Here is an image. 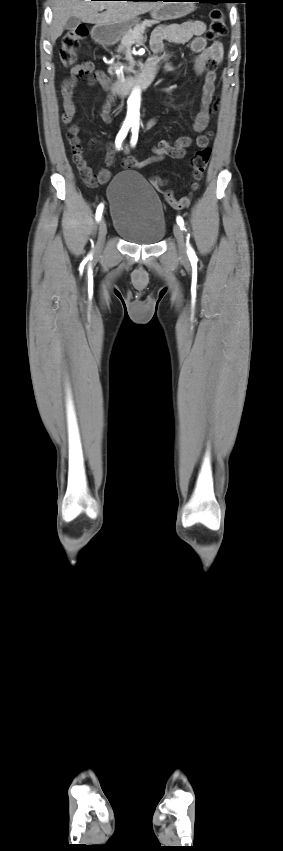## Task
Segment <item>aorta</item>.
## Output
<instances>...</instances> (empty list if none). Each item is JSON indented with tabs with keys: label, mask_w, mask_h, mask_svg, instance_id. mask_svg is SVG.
I'll return each mask as SVG.
<instances>
[{
	"label": "aorta",
	"mask_w": 283,
	"mask_h": 851,
	"mask_svg": "<svg viewBox=\"0 0 283 851\" xmlns=\"http://www.w3.org/2000/svg\"><path fill=\"white\" fill-rule=\"evenodd\" d=\"M140 90L135 89L128 99L127 120L137 122L139 120Z\"/></svg>",
	"instance_id": "1"
}]
</instances>
